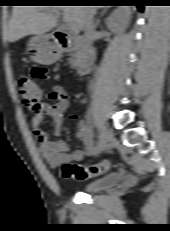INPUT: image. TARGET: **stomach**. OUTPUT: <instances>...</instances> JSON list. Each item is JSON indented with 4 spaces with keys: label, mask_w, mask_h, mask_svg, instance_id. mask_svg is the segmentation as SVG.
Here are the masks:
<instances>
[{
    "label": "stomach",
    "mask_w": 170,
    "mask_h": 231,
    "mask_svg": "<svg viewBox=\"0 0 170 231\" xmlns=\"http://www.w3.org/2000/svg\"><path fill=\"white\" fill-rule=\"evenodd\" d=\"M30 58L40 64H52L59 57L58 47L47 35H35L27 44Z\"/></svg>",
    "instance_id": "1"
}]
</instances>
